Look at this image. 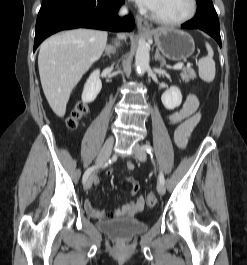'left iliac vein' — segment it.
<instances>
[{"instance_id":"4c4485c4","label":"left iliac vein","mask_w":247,"mask_h":265,"mask_svg":"<svg viewBox=\"0 0 247 265\" xmlns=\"http://www.w3.org/2000/svg\"><path fill=\"white\" fill-rule=\"evenodd\" d=\"M134 155L141 162H145L146 161L147 153L140 145H135V147H134ZM157 191H158V193L160 195H164L165 194V186H164V184L159 183L158 186H157Z\"/></svg>"}]
</instances>
